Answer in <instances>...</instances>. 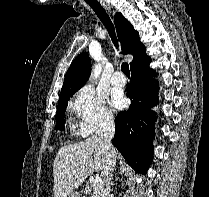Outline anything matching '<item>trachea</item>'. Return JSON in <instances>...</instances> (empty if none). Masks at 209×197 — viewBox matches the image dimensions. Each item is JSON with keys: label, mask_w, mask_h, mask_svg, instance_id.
<instances>
[{"label": "trachea", "mask_w": 209, "mask_h": 197, "mask_svg": "<svg viewBox=\"0 0 209 197\" xmlns=\"http://www.w3.org/2000/svg\"><path fill=\"white\" fill-rule=\"evenodd\" d=\"M86 2L93 9V11L98 16V18L101 20V22L103 23V25L107 29L115 47L117 48L118 47V41H117L116 36H115L114 25H113L110 17L108 16V14L104 10V8L96 0H93V1L92 0H86ZM121 70L126 76H130V70H129L128 63H122Z\"/></svg>", "instance_id": "trachea-1"}]
</instances>
